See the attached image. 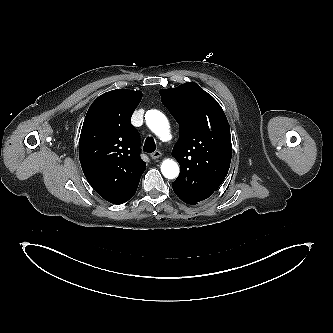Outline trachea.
<instances>
[{"label":"trachea","mask_w":333,"mask_h":333,"mask_svg":"<svg viewBox=\"0 0 333 333\" xmlns=\"http://www.w3.org/2000/svg\"><path fill=\"white\" fill-rule=\"evenodd\" d=\"M155 149H156V145H155L154 139L152 137H148L145 140L143 150L145 152L152 153L155 151Z\"/></svg>","instance_id":"trachea-1"}]
</instances>
